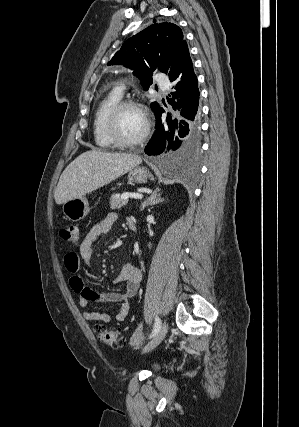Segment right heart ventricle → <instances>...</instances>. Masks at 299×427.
<instances>
[{"instance_id": "1", "label": "right heart ventricle", "mask_w": 299, "mask_h": 427, "mask_svg": "<svg viewBox=\"0 0 299 427\" xmlns=\"http://www.w3.org/2000/svg\"><path fill=\"white\" fill-rule=\"evenodd\" d=\"M122 95L115 90L105 95L98 103L93 116V140L102 150H111L115 145L109 140L105 131V122L111 109L121 101Z\"/></svg>"}]
</instances>
